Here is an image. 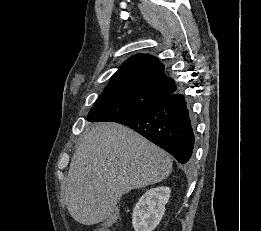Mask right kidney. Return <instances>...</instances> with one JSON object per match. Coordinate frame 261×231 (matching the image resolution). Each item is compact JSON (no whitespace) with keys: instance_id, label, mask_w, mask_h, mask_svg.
Wrapping results in <instances>:
<instances>
[{"instance_id":"right-kidney-1","label":"right kidney","mask_w":261,"mask_h":231,"mask_svg":"<svg viewBox=\"0 0 261 231\" xmlns=\"http://www.w3.org/2000/svg\"><path fill=\"white\" fill-rule=\"evenodd\" d=\"M169 187L152 188L143 194L133 209L132 225L135 231H153L161 221L170 198Z\"/></svg>"}]
</instances>
